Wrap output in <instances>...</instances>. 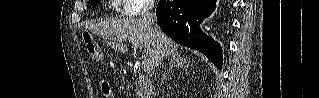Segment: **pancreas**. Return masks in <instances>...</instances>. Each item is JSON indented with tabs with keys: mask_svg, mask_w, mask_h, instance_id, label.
<instances>
[{
	"mask_svg": "<svg viewBox=\"0 0 319 98\" xmlns=\"http://www.w3.org/2000/svg\"><path fill=\"white\" fill-rule=\"evenodd\" d=\"M153 90V85L150 80V75L139 73L136 79V89L135 94L137 98H147L151 95Z\"/></svg>",
	"mask_w": 319,
	"mask_h": 98,
	"instance_id": "pancreas-1",
	"label": "pancreas"
}]
</instances>
